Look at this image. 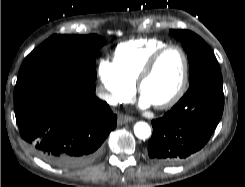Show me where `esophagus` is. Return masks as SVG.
I'll list each match as a JSON object with an SVG mask.
<instances>
[{"label": "esophagus", "mask_w": 245, "mask_h": 187, "mask_svg": "<svg viewBox=\"0 0 245 187\" xmlns=\"http://www.w3.org/2000/svg\"><path fill=\"white\" fill-rule=\"evenodd\" d=\"M132 121V117L124 115V114H119L118 115V124L123 125L127 124Z\"/></svg>", "instance_id": "34e87169"}]
</instances>
